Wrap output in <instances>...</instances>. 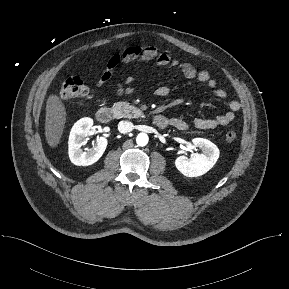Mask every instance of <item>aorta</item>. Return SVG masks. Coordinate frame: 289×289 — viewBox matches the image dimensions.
<instances>
[{
	"label": "aorta",
	"mask_w": 289,
	"mask_h": 289,
	"mask_svg": "<svg viewBox=\"0 0 289 289\" xmlns=\"http://www.w3.org/2000/svg\"><path fill=\"white\" fill-rule=\"evenodd\" d=\"M148 135L146 133H139L136 138V142L139 146H145L148 143Z\"/></svg>",
	"instance_id": "762f6f07"
}]
</instances>
